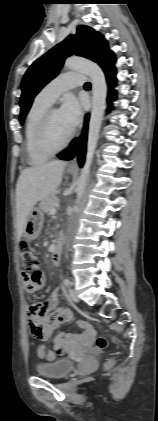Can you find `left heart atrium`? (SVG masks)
I'll use <instances>...</instances> for the list:
<instances>
[{
	"label": "left heart atrium",
	"mask_w": 158,
	"mask_h": 421,
	"mask_svg": "<svg viewBox=\"0 0 158 421\" xmlns=\"http://www.w3.org/2000/svg\"><path fill=\"white\" fill-rule=\"evenodd\" d=\"M65 125L72 131L80 122L82 110L79 101L74 96H68L59 110Z\"/></svg>",
	"instance_id": "obj_1"
}]
</instances>
